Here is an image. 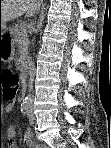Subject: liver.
I'll use <instances>...</instances> for the list:
<instances>
[{
	"instance_id": "obj_1",
	"label": "liver",
	"mask_w": 111,
	"mask_h": 148,
	"mask_svg": "<svg viewBox=\"0 0 111 148\" xmlns=\"http://www.w3.org/2000/svg\"><path fill=\"white\" fill-rule=\"evenodd\" d=\"M42 0H1L0 1V24H5L13 19L22 16L33 15L41 5Z\"/></svg>"
}]
</instances>
